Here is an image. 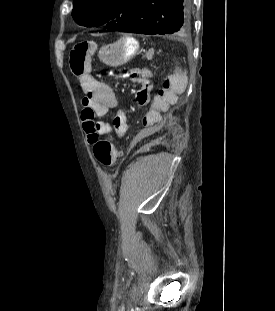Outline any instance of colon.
I'll return each mask as SVG.
<instances>
[{
  "label": "colon",
  "mask_w": 275,
  "mask_h": 311,
  "mask_svg": "<svg viewBox=\"0 0 275 311\" xmlns=\"http://www.w3.org/2000/svg\"><path fill=\"white\" fill-rule=\"evenodd\" d=\"M94 51L92 41H81L74 45L69 55V64L72 73L78 78L85 77L90 67V58ZM93 154L97 162L105 167L117 163L120 159V152L114 147L108 138L99 135L92 136Z\"/></svg>",
  "instance_id": "colon-1"
}]
</instances>
